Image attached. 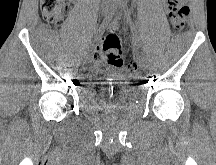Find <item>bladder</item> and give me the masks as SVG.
<instances>
[{
	"mask_svg": "<svg viewBox=\"0 0 216 165\" xmlns=\"http://www.w3.org/2000/svg\"><path fill=\"white\" fill-rule=\"evenodd\" d=\"M88 86L91 89H83V94H92L96 106H115L129 103L136 95L133 76H126L119 72H113L110 76H89ZM116 103V104H115Z\"/></svg>",
	"mask_w": 216,
	"mask_h": 165,
	"instance_id": "obj_1",
	"label": "bladder"
}]
</instances>
